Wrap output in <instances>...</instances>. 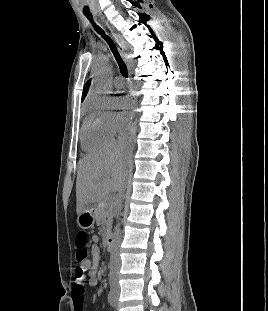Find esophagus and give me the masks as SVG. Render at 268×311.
Listing matches in <instances>:
<instances>
[{
  "label": "esophagus",
  "instance_id": "34e87169",
  "mask_svg": "<svg viewBox=\"0 0 268 311\" xmlns=\"http://www.w3.org/2000/svg\"><path fill=\"white\" fill-rule=\"evenodd\" d=\"M103 21L105 22V25H106V26L109 28V30L111 31L112 36L114 37V39H115V41H116V43H117V46H118L120 52H123V51L125 50L124 45L121 43V41H120V39L118 38V36L114 33L113 29L109 26L108 22L105 21L104 19H103ZM133 118H134V112H133V111H130L129 116H128V121H129V123L132 122Z\"/></svg>",
  "mask_w": 268,
  "mask_h": 311
}]
</instances>
